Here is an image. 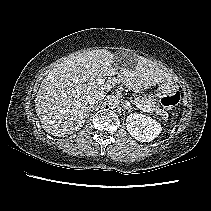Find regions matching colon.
Returning <instances> with one entry per match:
<instances>
[{
	"label": "colon",
	"mask_w": 211,
	"mask_h": 211,
	"mask_svg": "<svg viewBox=\"0 0 211 211\" xmlns=\"http://www.w3.org/2000/svg\"><path fill=\"white\" fill-rule=\"evenodd\" d=\"M180 101V94L178 92L162 97L161 104L165 109H171Z\"/></svg>",
	"instance_id": "colon-1"
}]
</instances>
